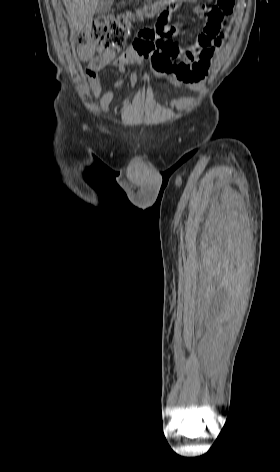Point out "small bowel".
<instances>
[{"label": "small bowel", "mask_w": 280, "mask_h": 472, "mask_svg": "<svg viewBox=\"0 0 280 472\" xmlns=\"http://www.w3.org/2000/svg\"><path fill=\"white\" fill-rule=\"evenodd\" d=\"M182 1L194 3L197 0ZM194 13L198 18L204 19L208 9L204 5H198ZM222 27L223 23L214 25L206 20L203 31L195 42L182 48L174 41L179 32L178 26L169 21H157L154 27L140 30L132 46L116 58L108 51L88 46H79L77 51L80 59L86 63L85 73L94 96L99 99L101 108L108 111L117 88L125 81L131 86L137 83L138 76L131 69L134 64L147 65L153 75L169 80L175 87L202 89L214 52L224 37ZM106 66L117 68L123 77L115 81L111 89L104 91L98 73ZM192 102V97H181L173 101V107L179 111Z\"/></svg>", "instance_id": "small-bowel-1"}]
</instances>
